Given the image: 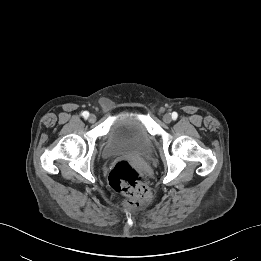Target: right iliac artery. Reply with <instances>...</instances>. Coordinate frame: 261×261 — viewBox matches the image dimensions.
Here are the masks:
<instances>
[{
    "label": "right iliac artery",
    "mask_w": 261,
    "mask_h": 261,
    "mask_svg": "<svg viewBox=\"0 0 261 261\" xmlns=\"http://www.w3.org/2000/svg\"><path fill=\"white\" fill-rule=\"evenodd\" d=\"M82 115H83L84 118H88L89 117V112L88 111H84L82 113Z\"/></svg>",
    "instance_id": "1"
}]
</instances>
